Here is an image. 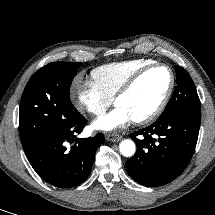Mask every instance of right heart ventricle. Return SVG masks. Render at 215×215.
Returning <instances> with one entry per match:
<instances>
[{"label":"right heart ventricle","mask_w":215,"mask_h":215,"mask_svg":"<svg viewBox=\"0 0 215 215\" xmlns=\"http://www.w3.org/2000/svg\"><path fill=\"white\" fill-rule=\"evenodd\" d=\"M154 63L150 59H133L99 66L92 70L93 83L108 97L113 98L124 83L140 69Z\"/></svg>","instance_id":"right-heart-ventricle-1"}]
</instances>
